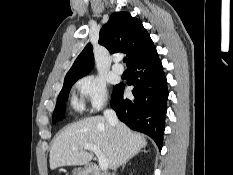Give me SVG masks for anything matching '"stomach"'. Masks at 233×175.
Returning a JSON list of instances; mask_svg holds the SVG:
<instances>
[{
    "instance_id": "1",
    "label": "stomach",
    "mask_w": 233,
    "mask_h": 175,
    "mask_svg": "<svg viewBox=\"0 0 233 175\" xmlns=\"http://www.w3.org/2000/svg\"><path fill=\"white\" fill-rule=\"evenodd\" d=\"M73 175H88V173L85 169L77 168L73 170Z\"/></svg>"
}]
</instances>
